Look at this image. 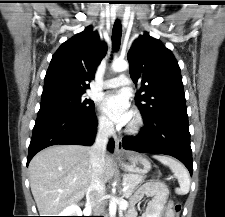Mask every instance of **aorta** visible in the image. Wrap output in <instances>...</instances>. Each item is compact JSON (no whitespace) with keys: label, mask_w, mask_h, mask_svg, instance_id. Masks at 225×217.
Returning <instances> with one entry per match:
<instances>
[{"label":"aorta","mask_w":225,"mask_h":217,"mask_svg":"<svg viewBox=\"0 0 225 217\" xmlns=\"http://www.w3.org/2000/svg\"><path fill=\"white\" fill-rule=\"evenodd\" d=\"M111 68L114 72H122V71L127 70L128 63L124 60L117 59V60L113 61ZM109 210H110L111 217L114 216L116 213V201L114 199L111 200V202H110Z\"/></svg>","instance_id":"1"}]
</instances>
